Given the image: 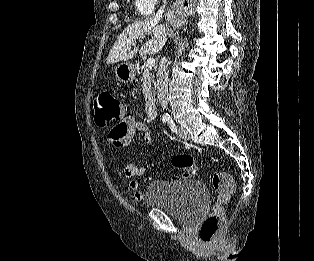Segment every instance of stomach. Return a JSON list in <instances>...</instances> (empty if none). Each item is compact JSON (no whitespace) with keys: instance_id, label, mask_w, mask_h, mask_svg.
Masks as SVG:
<instances>
[{"instance_id":"stomach-1","label":"stomach","mask_w":314,"mask_h":261,"mask_svg":"<svg viewBox=\"0 0 314 261\" xmlns=\"http://www.w3.org/2000/svg\"><path fill=\"white\" fill-rule=\"evenodd\" d=\"M116 78L122 83H130L136 77V67L130 63H121L115 69Z\"/></svg>"}]
</instances>
